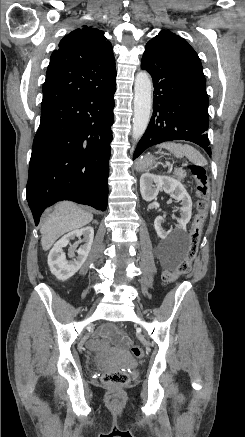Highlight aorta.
<instances>
[{
  "mask_svg": "<svg viewBox=\"0 0 245 437\" xmlns=\"http://www.w3.org/2000/svg\"><path fill=\"white\" fill-rule=\"evenodd\" d=\"M133 138H141L148 126L152 105V81L150 75L141 71L137 73L134 85Z\"/></svg>",
  "mask_w": 245,
  "mask_h": 437,
  "instance_id": "aorta-1",
  "label": "aorta"
}]
</instances>
